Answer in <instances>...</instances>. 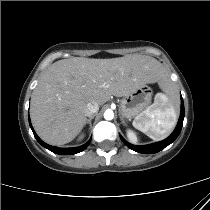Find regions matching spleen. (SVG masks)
I'll use <instances>...</instances> for the list:
<instances>
[{"label":"spleen","instance_id":"3e777b00","mask_svg":"<svg viewBox=\"0 0 210 210\" xmlns=\"http://www.w3.org/2000/svg\"><path fill=\"white\" fill-rule=\"evenodd\" d=\"M165 92L157 93L154 103L133 120V126L153 140L167 137L177 121L171 98L175 89L169 80L166 82Z\"/></svg>","mask_w":210,"mask_h":210}]
</instances>
